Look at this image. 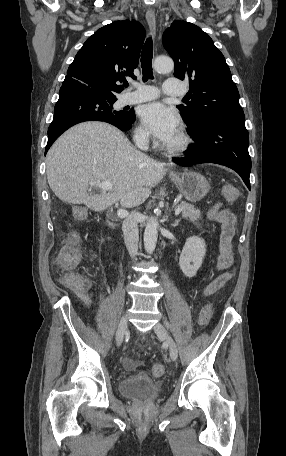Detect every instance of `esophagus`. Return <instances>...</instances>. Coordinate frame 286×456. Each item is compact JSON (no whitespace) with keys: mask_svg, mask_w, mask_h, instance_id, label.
Segmentation results:
<instances>
[{"mask_svg":"<svg viewBox=\"0 0 286 456\" xmlns=\"http://www.w3.org/2000/svg\"><path fill=\"white\" fill-rule=\"evenodd\" d=\"M146 20L149 25L150 31L153 35V38L156 36V20H155V13L154 11H147L146 12Z\"/></svg>","mask_w":286,"mask_h":456,"instance_id":"34e87169","label":"esophagus"}]
</instances>
